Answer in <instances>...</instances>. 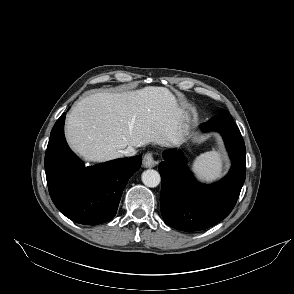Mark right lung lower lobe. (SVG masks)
Listing matches in <instances>:
<instances>
[{
    "instance_id": "obj_1",
    "label": "right lung lower lobe",
    "mask_w": 294,
    "mask_h": 294,
    "mask_svg": "<svg viewBox=\"0 0 294 294\" xmlns=\"http://www.w3.org/2000/svg\"><path fill=\"white\" fill-rule=\"evenodd\" d=\"M66 113L56 121L45 155V172L55 206L69 219L84 225L111 220L129 178L142 157L116 159L85 167L70 150L64 136Z\"/></svg>"
}]
</instances>
